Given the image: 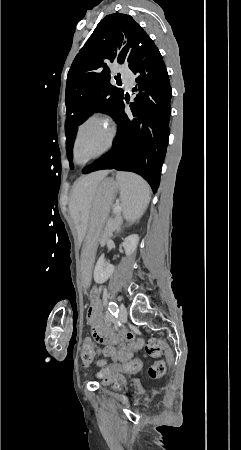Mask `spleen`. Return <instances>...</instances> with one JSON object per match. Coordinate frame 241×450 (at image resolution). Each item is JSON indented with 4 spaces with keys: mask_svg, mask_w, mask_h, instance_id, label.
<instances>
[{
    "mask_svg": "<svg viewBox=\"0 0 241 450\" xmlns=\"http://www.w3.org/2000/svg\"><path fill=\"white\" fill-rule=\"evenodd\" d=\"M116 182L120 190V198L124 203L123 216L125 220L135 222L143 216L150 200L149 184L132 172H117Z\"/></svg>",
    "mask_w": 241,
    "mask_h": 450,
    "instance_id": "spleen-1",
    "label": "spleen"
}]
</instances>
